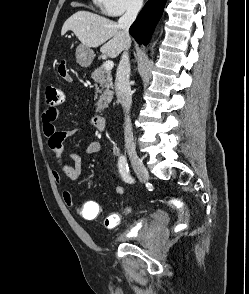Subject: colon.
I'll list each match as a JSON object with an SVG mask.
<instances>
[{
    "label": "colon",
    "mask_w": 249,
    "mask_h": 294,
    "mask_svg": "<svg viewBox=\"0 0 249 294\" xmlns=\"http://www.w3.org/2000/svg\"><path fill=\"white\" fill-rule=\"evenodd\" d=\"M58 71H59V74L61 76L67 74V67H66V63L64 61L59 65ZM62 101H63V92H62V90L60 88L56 87V86H52V85L47 86V88H46V99H45L46 104L48 106H57V105L61 104ZM77 212H78V214L83 213L82 206L77 208ZM95 213H100V206L95 208V210L91 211L90 215L93 216ZM180 227L182 228L183 224H181Z\"/></svg>",
    "instance_id": "5ec220e1"
}]
</instances>
